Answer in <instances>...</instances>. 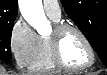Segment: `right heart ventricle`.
Instances as JSON below:
<instances>
[{"mask_svg": "<svg viewBox=\"0 0 107 75\" xmlns=\"http://www.w3.org/2000/svg\"><path fill=\"white\" fill-rule=\"evenodd\" d=\"M53 20L55 22L59 21ZM29 67L32 71L37 72L54 71L57 69V66L54 64L51 57L49 37L39 36L38 48Z\"/></svg>", "mask_w": 107, "mask_h": 75, "instance_id": "right-heart-ventricle-1", "label": "right heart ventricle"}]
</instances>
